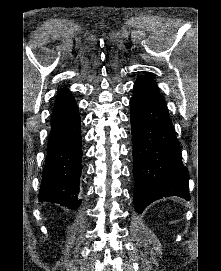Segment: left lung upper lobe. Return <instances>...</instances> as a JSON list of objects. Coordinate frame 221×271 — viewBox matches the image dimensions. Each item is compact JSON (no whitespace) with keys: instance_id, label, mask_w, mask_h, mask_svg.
<instances>
[{"instance_id":"1","label":"left lung upper lobe","mask_w":221,"mask_h":271,"mask_svg":"<svg viewBox=\"0 0 221 271\" xmlns=\"http://www.w3.org/2000/svg\"><path fill=\"white\" fill-rule=\"evenodd\" d=\"M137 81L142 82L144 84H147L148 86H150V87L154 88L156 91H158L157 84L148 76H143L141 79H138Z\"/></svg>"}]
</instances>
